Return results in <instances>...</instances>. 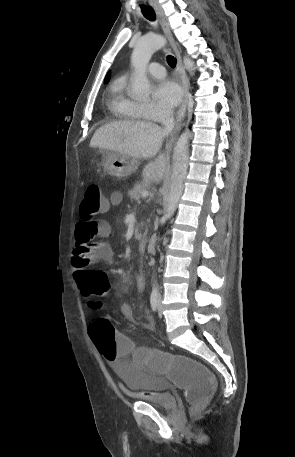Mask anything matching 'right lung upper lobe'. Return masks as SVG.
I'll return each mask as SVG.
<instances>
[{
    "label": "right lung upper lobe",
    "mask_w": 295,
    "mask_h": 457,
    "mask_svg": "<svg viewBox=\"0 0 295 457\" xmlns=\"http://www.w3.org/2000/svg\"><path fill=\"white\" fill-rule=\"evenodd\" d=\"M109 78H110V72H108V74L106 75L105 81H107Z\"/></svg>",
    "instance_id": "right-lung-upper-lobe-1"
}]
</instances>
